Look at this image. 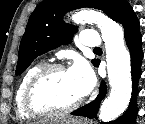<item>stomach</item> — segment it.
Masks as SVG:
<instances>
[{
    "mask_svg": "<svg viewBox=\"0 0 145 124\" xmlns=\"http://www.w3.org/2000/svg\"><path fill=\"white\" fill-rule=\"evenodd\" d=\"M49 124H88V123L77 119H57L55 121L50 122Z\"/></svg>",
    "mask_w": 145,
    "mask_h": 124,
    "instance_id": "stomach-1",
    "label": "stomach"
}]
</instances>
